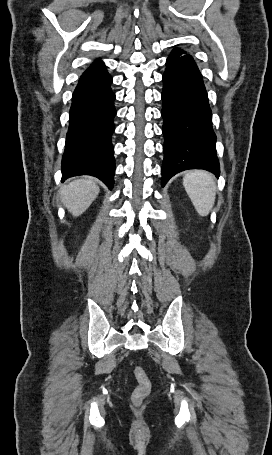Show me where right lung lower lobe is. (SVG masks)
Here are the masks:
<instances>
[{
	"instance_id": "right-lung-lower-lobe-1",
	"label": "right lung lower lobe",
	"mask_w": 272,
	"mask_h": 455,
	"mask_svg": "<svg viewBox=\"0 0 272 455\" xmlns=\"http://www.w3.org/2000/svg\"><path fill=\"white\" fill-rule=\"evenodd\" d=\"M107 71L81 77L72 96L69 129L62 157V180L92 175L113 187L115 159L111 135L115 94Z\"/></svg>"
}]
</instances>
